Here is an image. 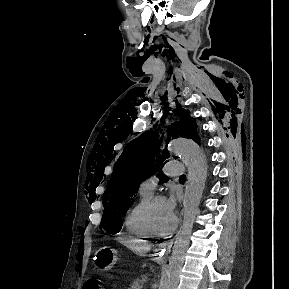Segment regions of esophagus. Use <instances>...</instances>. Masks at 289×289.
<instances>
[{"label": "esophagus", "instance_id": "obj_1", "mask_svg": "<svg viewBox=\"0 0 289 289\" xmlns=\"http://www.w3.org/2000/svg\"><path fill=\"white\" fill-rule=\"evenodd\" d=\"M175 237L162 242L156 247V254L159 256V258H165L169 252L171 251L172 245L174 243Z\"/></svg>", "mask_w": 289, "mask_h": 289}]
</instances>
